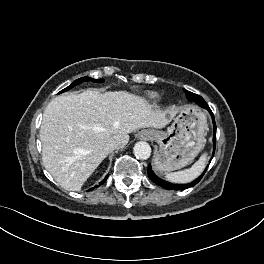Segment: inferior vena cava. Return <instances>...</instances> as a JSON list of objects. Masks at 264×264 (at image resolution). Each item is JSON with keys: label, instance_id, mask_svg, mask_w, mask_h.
<instances>
[{"label": "inferior vena cava", "instance_id": "obj_1", "mask_svg": "<svg viewBox=\"0 0 264 264\" xmlns=\"http://www.w3.org/2000/svg\"><path fill=\"white\" fill-rule=\"evenodd\" d=\"M120 147H121V146H120V143L117 142V141H115V140L110 141V142H108V143L106 144V150H107V151H113V150L118 149V148H120Z\"/></svg>", "mask_w": 264, "mask_h": 264}]
</instances>
